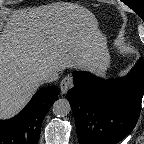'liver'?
Here are the masks:
<instances>
[{
	"mask_svg": "<svg viewBox=\"0 0 144 144\" xmlns=\"http://www.w3.org/2000/svg\"><path fill=\"white\" fill-rule=\"evenodd\" d=\"M106 44L95 16L80 5L10 10L0 22V119L29 102L48 70L98 71Z\"/></svg>",
	"mask_w": 144,
	"mask_h": 144,
	"instance_id": "obj_1",
	"label": "liver"
}]
</instances>
